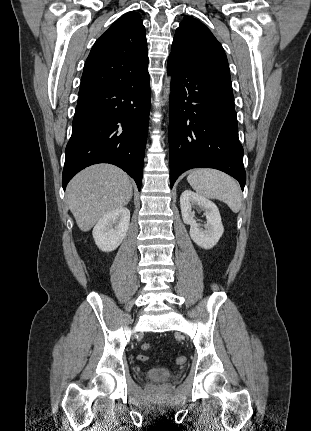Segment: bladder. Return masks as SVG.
<instances>
[{
  "label": "bladder",
  "instance_id": "31cf9c89",
  "mask_svg": "<svg viewBox=\"0 0 311 431\" xmlns=\"http://www.w3.org/2000/svg\"><path fill=\"white\" fill-rule=\"evenodd\" d=\"M145 377L152 381H168L174 374L164 367H153L146 371Z\"/></svg>",
  "mask_w": 311,
  "mask_h": 431
}]
</instances>
